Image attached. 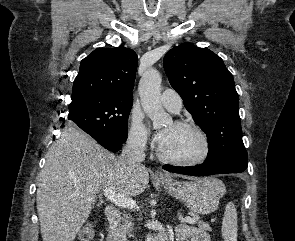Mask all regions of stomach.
<instances>
[{
  "mask_svg": "<svg viewBox=\"0 0 295 241\" xmlns=\"http://www.w3.org/2000/svg\"><path fill=\"white\" fill-rule=\"evenodd\" d=\"M212 182L204 179L187 181H163L159 183L169 195L183 202L195 214L207 215L214 212L219 206V199L225 193L224 184L214 178Z\"/></svg>",
  "mask_w": 295,
  "mask_h": 241,
  "instance_id": "obj_1",
  "label": "stomach"
}]
</instances>
